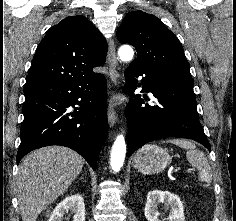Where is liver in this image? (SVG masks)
Instances as JSON below:
<instances>
[{
    "mask_svg": "<svg viewBox=\"0 0 236 221\" xmlns=\"http://www.w3.org/2000/svg\"><path fill=\"white\" fill-rule=\"evenodd\" d=\"M82 168L83 158L66 147H43L27 155L17 177L22 221H36L38 215L68 189Z\"/></svg>",
    "mask_w": 236,
    "mask_h": 221,
    "instance_id": "1",
    "label": "liver"
}]
</instances>
